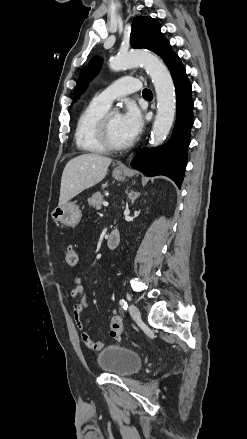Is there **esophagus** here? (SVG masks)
<instances>
[{"label":"esophagus","instance_id":"34e87169","mask_svg":"<svg viewBox=\"0 0 247 439\" xmlns=\"http://www.w3.org/2000/svg\"><path fill=\"white\" fill-rule=\"evenodd\" d=\"M118 168L119 169H126L127 167L124 164L121 163V164L118 165Z\"/></svg>","mask_w":247,"mask_h":439}]
</instances>
